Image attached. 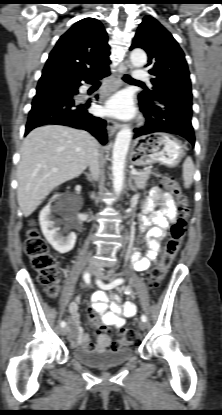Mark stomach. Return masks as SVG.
I'll list each match as a JSON object with an SVG mask.
<instances>
[{
  "mask_svg": "<svg viewBox=\"0 0 222 415\" xmlns=\"http://www.w3.org/2000/svg\"><path fill=\"white\" fill-rule=\"evenodd\" d=\"M185 155L182 143L167 133H153L137 138L130 152V161L136 166L162 163L173 167Z\"/></svg>",
  "mask_w": 222,
  "mask_h": 415,
  "instance_id": "stomach-1",
  "label": "stomach"
}]
</instances>
